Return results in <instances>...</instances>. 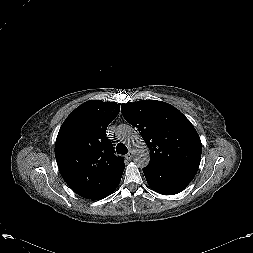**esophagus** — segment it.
Masks as SVG:
<instances>
[{"label": "esophagus", "mask_w": 253, "mask_h": 253, "mask_svg": "<svg viewBox=\"0 0 253 253\" xmlns=\"http://www.w3.org/2000/svg\"><path fill=\"white\" fill-rule=\"evenodd\" d=\"M133 158V151L130 150L128 154L126 155V159L131 160Z\"/></svg>", "instance_id": "obj_1"}]
</instances>
